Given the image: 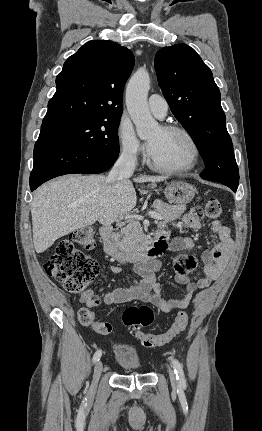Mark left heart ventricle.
I'll return each instance as SVG.
<instances>
[{
    "instance_id": "1",
    "label": "left heart ventricle",
    "mask_w": 262,
    "mask_h": 431,
    "mask_svg": "<svg viewBox=\"0 0 262 431\" xmlns=\"http://www.w3.org/2000/svg\"><path fill=\"white\" fill-rule=\"evenodd\" d=\"M147 141L153 144L151 157L160 165L177 167L189 161L191 146L180 133L166 132L158 127L149 134Z\"/></svg>"
}]
</instances>
